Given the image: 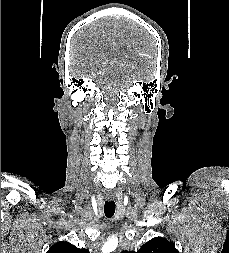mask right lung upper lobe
Wrapping results in <instances>:
<instances>
[{"mask_svg":"<svg viewBox=\"0 0 229 253\" xmlns=\"http://www.w3.org/2000/svg\"><path fill=\"white\" fill-rule=\"evenodd\" d=\"M47 253H90L87 249H79L68 242H58L49 248Z\"/></svg>","mask_w":229,"mask_h":253,"instance_id":"obj_1","label":"right lung upper lobe"}]
</instances>
